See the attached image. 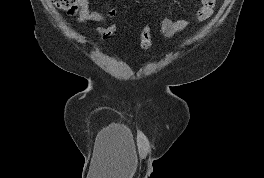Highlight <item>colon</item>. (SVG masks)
<instances>
[{
  "label": "colon",
  "mask_w": 264,
  "mask_h": 178,
  "mask_svg": "<svg viewBox=\"0 0 264 178\" xmlns=\"http://www.w3.org/2000/svg\"><path fill=\"white\" fill-rule=\"evenodd\" d=\"M54 5L69 15H75L78 11L79 0H52ZM116 31V24L105 25L101 29V37L108 38ZM154 28L152 25H146L140 34V45L142 49L149 50L152 45Z\"/></svg>",
  "instance_id": "1"
}]
</instances>
